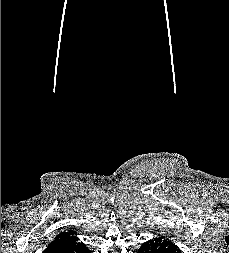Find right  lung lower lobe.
<instances>
[{
	"label": "right lung lower lobe",
	"mask_w": 229,
	"mask_h": 253,
	"mask_svg": "<svg viewBox=\"0 0 229 253\" xmlns=\"http://www.w3.org/2000/svg\"><path fill=\"white\" fill-rule=\"evenodd\" d=\"M45 253H90L87 246L78 240L68 245L45 251Z\"/></svg>",
	"instance_id": "1"
}]
</instances>
